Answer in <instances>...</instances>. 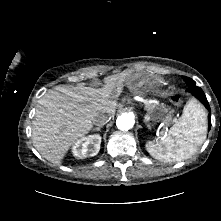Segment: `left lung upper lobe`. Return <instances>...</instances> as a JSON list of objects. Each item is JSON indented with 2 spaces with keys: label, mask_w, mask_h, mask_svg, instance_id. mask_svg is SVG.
I'll use <instances>...</instances> for the list:
<instances>
[{
  "label": "left lung upper lobe",
  "mask_w": 221,
  "mask_h": 221,
  "mask_svg": "<svg viewBox=\"0 0 221 221\" xmlns=\"http://www.w3.org/2000/svg\"><path fill=\"white\" fill-rule=\"evenodd\" d=\"M184 80L186 81V83L188 85H192V84H195V81L189 77H184Z\"/></svg>",
  "instance_id": "left-lung-upper-lobe-1"
}]
</instances>
